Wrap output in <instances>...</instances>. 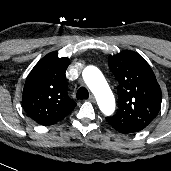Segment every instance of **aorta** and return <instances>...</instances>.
Instances as JSON below:
<instances>
[{"mask_svg": "<svg viewBox=\"0 0 171 171\" xmlns=\"http://www.w3.org/2000/svg\"><path fill=\"white\" fill-rule=\"evenodd\" d=\"M83 79L95 95L100 110L105 115L113 114L115 99L101 71L95 66H87L83 70Z\"/></svg>", "mask_w": 171, "mask_h": 171, "instance_id": "aorta-1", "label": "aorta"}]
</instances>
